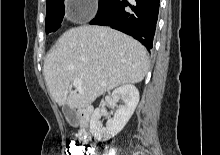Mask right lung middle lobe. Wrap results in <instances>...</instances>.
<instances>
[{
	"mask_svg": "<svg viewBox=\"0 0 220 155\" xmlns=\"http://www.w3.org/2000/svg\"><path fill=\"white\" fill-rule=\"evenodd\" d=\"M113 0H99L98 13L108 7ZM64 0H54L47 3L46 6V21L45 30L48 34L49 32L56 31L63 20L64 17Z\"/></svg>",
	"mask_w": 220,
	"mask_h": 155,
	"instance_id": "1",
	"label": "right lung middle lobe"
}]
</instances>
